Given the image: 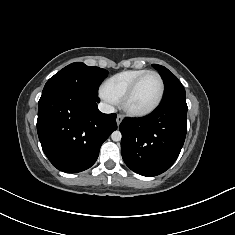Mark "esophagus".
Wrapping results in <instances>:
<instances>
[{
    "mask_svg": "<svg viewBox=\"0 0 235 235\" xmlns=\"http://www.w3.org/2000/svg\"><path fill=\"white\" fill-rule=\"evenodd\" d=\"M123 120V116L121 114H118L117 117H116V122H117V125H120V123L122 122Z\"/></svg>",
    "mask_w": 235,
    "mask_h": 235,
    "instance_id": "34e87169",
    "label": "esophagus"
}]
</instances>
